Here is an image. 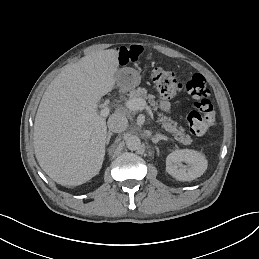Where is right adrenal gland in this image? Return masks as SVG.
<instances>
[{
    "instance_id": "right-adrenal-gland-1",
    "label": "right adrenal gland",
    "mask_w": 259,
    "mask_h": 259,
    "mask_svg": "<svg viewBox=\"0 0 259 259\" xmlns=\"http://www.w3.org/2000/svg\"><path fill=\"white\" fill-rule=\"evenodd\" d=\"M111 136H112V133H111V132H108V133H107V138H106V144H107V145H108L109 142H110Z\"/></svg>"
}]
</instances>
